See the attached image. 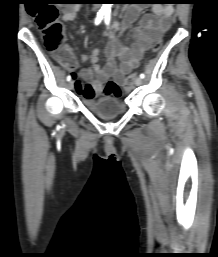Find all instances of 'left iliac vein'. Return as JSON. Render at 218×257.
Wrapping results in <instances>:
<instances>
[{
    "mask_svg": "<svg viewBox=\"0 0 218 257\" xmlns=\"http://www.w3.org/2000/svg\"><path fill=\"white\" fill-rule=\"evenodd\" d=\"M135 84L137 86L141 85L142 84V78L141 77H138L136 80H135Z\"/></svg>",
    "mask_w": 218,
    "mask_h": 257,
    "instance_id": "4c4485c4",
    "label": "left iliac vein"
}]
</instances>
